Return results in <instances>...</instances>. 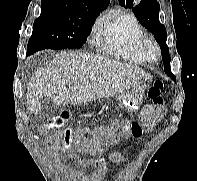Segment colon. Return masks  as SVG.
<instances>
[{"instance_id": "5ec220e1", "label": "colon", "mask_w": 197, "mask_h": 181, "mask_svg": "<svg viewBox=\"0 0 197 181\" xmlns=\"http://www.w3.org/2000/svg\"><path fill=\"white\" fill-rule=\"evenodd\" d=\"M164 83L157 80L148 89L149 102L143 107L139 119L135 121H121L108 126L65 127L70 118L69 113H61L43 126V133L49 138L53 149L61 148L70 151L74 147L80 151H92L100 154L110 145L117 142L121 136L132 134L141 136L150 131L161 119L165 112L163 98Z\"/></svg>"}]
</instances>
